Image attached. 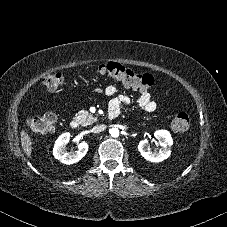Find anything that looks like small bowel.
Wrapping results in <instances>:
<instances>
[{
  "mask_svg": "<svg viewBox=\"0 0 227 227\" xmlns=\"http://www.w3.org/2000/svg\"><path fill=\"white\" fill-rule=\"evenodd\" d=\"M96 92L100 93V89H96ZM117 90L116 87L113 85L108 86L104 93L105 95L112 97L116 94ZM130 102V99L127 96H119L112 100L110 104V109H115L117 112H119L120 107L122 104H128ZM138 104L140 107H142L146 112L152 113L156 111L157 109V103L152 99L151 95L147 91H143L140 93V96L138 98Z\"/></svg>",
  "mask_w": 227,
  "mask_h": 227,
  "instance_id": "c3829d8e",
  "label": "small bowel"
}]
</instances>
